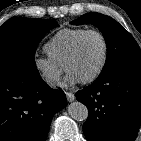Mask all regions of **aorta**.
<instances>
[{"label": "aorta", "mask_w": 141, "mask_h": 141, "mask_svg": "<svg viewBox=\"0 0 141 141\" xmlns=\"http://www.w3.org/2000/svg\"><path fill=\"white\" fill-rule=\"evenodd\" d=\"M68 113L71 118L78 121H84L88 118V109L81 102H72L67 107Z\"/></svg>", "instance_id": "aorta-1"}]
</instances>
